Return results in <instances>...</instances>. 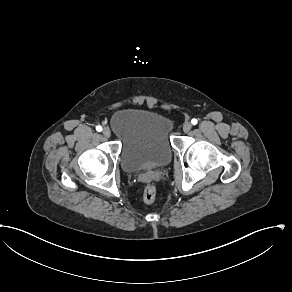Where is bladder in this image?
Masks as SVG:
<instances>
[{"mask_svg":"<svg viewBox=\"0 0 292 292\" xmlns=\"http://www.w3.org/2000/svg\"><path fill=\"white\" fill-rule=\"evenodd\" d=\"M110 124L121 143L124 171L134 172L170 161L173 124L166 114L153 108H125L113 114Z\"/></svg>","mask_w":292,"mask_h":292,"instance_id":"31cf9c89","label":"bladder"}]
</instances>
